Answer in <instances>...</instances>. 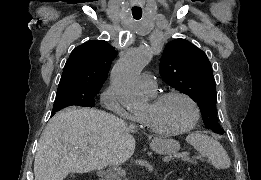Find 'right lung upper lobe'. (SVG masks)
Instances as JSON below:
<instances>
[{
	"label": "right lung upper lobe",
	"instance_id": "cb5924a9",
	"mask_svg": "<svg viewBox=\"0 0 261 180\" xmlns=\"http://www.w3.org/2000/svg\"><path fill=\"white\" fill-rule=\"evenodd\" d=\"M117 52L104 40H91L70 54L58 87L82 85L101 87Z\"/></svg>",
	"mask_w": 261,
	"mask_h": 180
}]
</instances>
